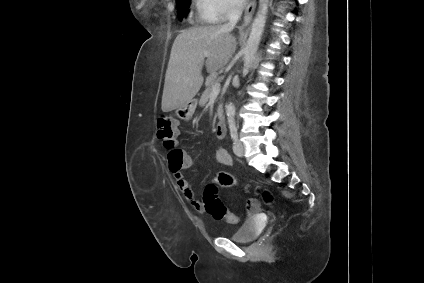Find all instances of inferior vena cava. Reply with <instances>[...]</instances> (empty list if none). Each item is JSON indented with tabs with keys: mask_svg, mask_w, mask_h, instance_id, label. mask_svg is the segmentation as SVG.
Here are the masks:
<instances>
[{
	"mask_svg": "<svg viewBox=\"0 0 424 283\" xmlns=\"http://www.w3.org/2000/svg\"><path fill=\"white\" fill-rule=\"evenodd\" d=\"M243 4L240 1H235L233 3H231L228 13H227V17L229 20V23L227 25L229 26H234L237 21L239 20V18L242 15L243 12Z\"/></svg>",
	"mask_w": 424,
	"mask_h": 283,
	"instance_id": "1",
	"label": "inferior vena cava"
}]
</instances>
